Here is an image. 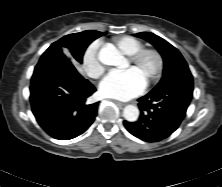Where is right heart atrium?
<instances>
[{
  "mask_svg": "<svg viewBox=\"0 0 222 187\" xmlns=\"http://www.w3.org/2000/svg\"><path fill=\"white\" fill-rule=\"evenodd\" d=\"M99 47V41H93L86 47L82 55L81 67L91 78L100 77L105 70L104 65L99 59Z\"/></svg>",
  "mask_w": 222,
  "mask_h": 187,
  "instance_id": "1",
  "label": "right heart atrium"
}]
</instances>
